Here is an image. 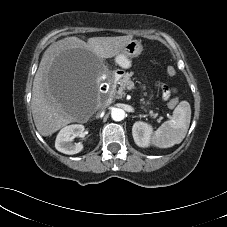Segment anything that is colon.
<instances>
[{"label":"colon","instance_id":"colon-1","mask_svg":"<svg viewBox=\"0 0 227 227\" xmlns=\"http://www.w3.org/2000/svg\"><path fill=\"white\" fill-rule=\"evenodd\" d=\"M167 73L172 76V75H175L176 71H175V69L173 67H168L167 68ZM177 104H178V99L177 98H173V99H171L169 101V106L171 108L175 107Z\"/></svg>","mask_w":227,"mask_h":227}]
</instances>
